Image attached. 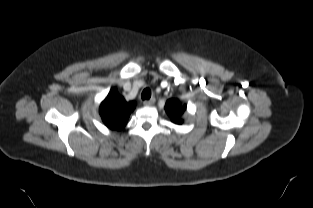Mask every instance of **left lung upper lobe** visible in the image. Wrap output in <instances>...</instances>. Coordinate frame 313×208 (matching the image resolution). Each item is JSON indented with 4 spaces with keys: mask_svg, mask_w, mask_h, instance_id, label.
I'll use <instances>...</instances> for the list:
<instances>
[{
    "mask_svg": "<svg viewBox=\"0 0 313 208\" xmlns=\"http://www.w3.org/2000/svg\"><path fill=\"white\" fill-rule=\"evenodd\" d=\"M186 110V105H182L178 99H169L165 104V111L171 120L176 124H182V115Z\"/></svg>",
    "mask_w": 313,
    "mask_h": 208,
    "instance_id": "obj_1",
    "label": "left lung upper lobe"
}]
</instances>
